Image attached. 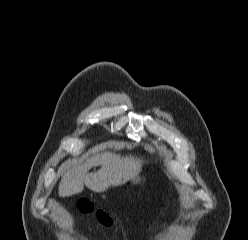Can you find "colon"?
<instances>
[{"instance_id":"5ec220e1","label":"colon","mask_w":248,"mask_h":240,"mask_svg":"<svg viewBox=\"0 0 248 240\" xmlns=\"http://www.w3.org/2000/svg\"><path fill=\"white\" fill-rule=\"evenodd\" d=\"M78 208L84 214H95L98 221L106 227L113 224V220L107 212L101 209H95L92 203L87 200L80 201Z\"/></svg>"}]
</instances>
